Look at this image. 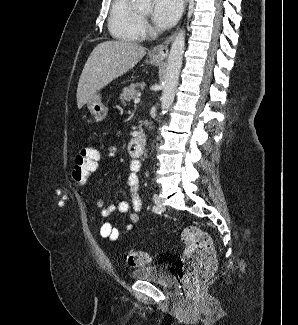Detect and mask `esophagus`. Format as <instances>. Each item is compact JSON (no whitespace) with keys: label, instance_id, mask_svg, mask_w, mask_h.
Here are the masks:
<instances>
[{"label":"esophagus","instance_id":"1","mask_svg":"<svg viewBox=\"0 0 298 325\" xmlns=\"http://www.w3.org/2000/svg\"><path fill=\"white\" fill-rule=\"evenodd\" d=\"M185 5H187L188 0H184ZM174 35H170L169 38H167L163 43H160L159 45H156L150 52V57L151 58H155L156 60H163L166 57H168V53H169V45L171 43V41L174 38Z\"/></svg>","mask_w":298,"mask_h":325}]
</instances>
